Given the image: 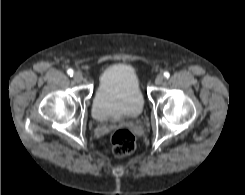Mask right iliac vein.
I'll use <instances>...</instances> for the list:
<instances>
[{"instance_id": "1", "label": "right iliac vein", "mask_w": 245, "mask_h": 195, "mask_svg": "<svg viewBox=\"0 0 245 195\" xmlns=\"http://www.w3.org/2000/svg\"><path fill=\"white\" fill-rule=\"evenodd\" d=\"M73 78L76 82H81L83 80V75L81 72H76Z\"/></svg>"}]
</instances>
